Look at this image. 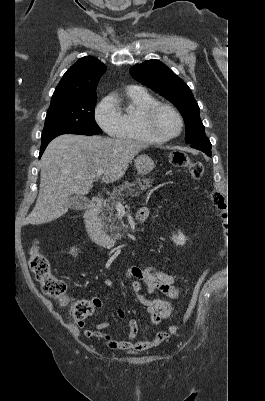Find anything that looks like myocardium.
Returning <instances> with one entry per match:
<instances>
[{
  "mask_svg": "<svg viewBox=\"0 0 265 401\" xmlns=\"http://www.w3.org/2000/svg\"><path fill=\"white\" fill-rule=\"evenodd\" d=\"M159 109L168 110L169 112H171L178 118L180 128L176 135L165 138V139H158L152 134L151 127H150V121H151V118L154 115V113L156 111H158ZM140 124H141L143 131L147 135L149 141L154 142V143H166V142L172 141V140L178 138L184 130V119H183V116L181 115V113L177 109H175L173 106L166 104V103H162V102H155L154 104H152L151 106L146 108L142 113V116L140 119Z\"/></svg>",
  "mask_w": 265,
  "mask_h": 401,
  "instance_id": "obj_1",
  "label": "myocardium"
}]
</instances>
